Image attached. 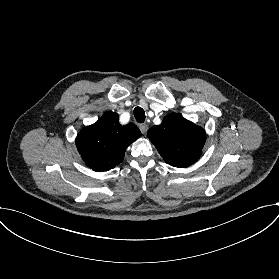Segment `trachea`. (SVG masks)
I'll use <instances>...</instances> for the list:
<instances>
[{"label": "trachea", "instance_id": "obj_1", "mask_svg": "<svg viewBox=\"0 0 279 279\" xmlns=\"http://www.w3.org/2000/svg\"><path fill=\"white\" fill-rule=\"evenodd\" d=\"M134 116L138 123H143L145 121V112L141 107H136L134 109Z\"/></svg>", "mask_w": 279, "mask_h": 279}]
</instances>
